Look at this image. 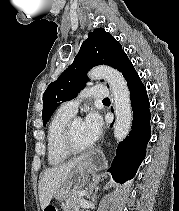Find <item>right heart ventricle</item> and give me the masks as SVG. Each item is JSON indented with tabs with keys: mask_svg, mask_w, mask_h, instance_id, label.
<instances>
[{
	"mask_svg": "<svg viewBox=\"0 0 179 211\" xmlns=\"http://www.w3.org/2000/svg\"><path fill=\"white\" fill-rule=\"evenodd\" d=\"M72 117V114L60 108L52 116L48 124L46 132V155L50 166H60L70 157L62 146V136L67 123Z\"/></svg>",
	"mask_w": 179,
	"mask_h": 211,
	"instance_id": "right-heart-ventricle-1",
	"label": "right heart ventricle"
}]
</instances>
